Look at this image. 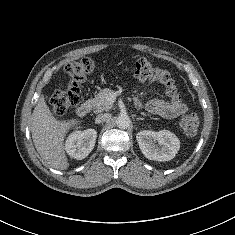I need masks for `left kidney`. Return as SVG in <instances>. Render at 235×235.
<instances>
[{
    "instance_id": "5707ae66",
    "label": "left kidney",
    "mask_w": 235,
    "mask_h": 235,
    "mask_svg": "<svg viewBox=\"0 0 235 235\" xmlns=\"http://www.w3.org/2000/svg\"><path fill=\"white\" fill-rule=\"evenodd\" d=\"M136 139L140 150L149 160L170 161L180 148L179 139L168 130L159 132L143 130L137 133Z\"/></svg>"
}]
</instances>
